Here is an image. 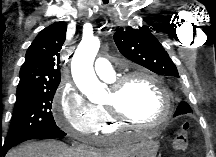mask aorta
<instances>
[{
	"label": "aorta",
	"instance_id": "1",
	"mask_svg": "<svg viewBox=\"0 0 216 157\" xmlns=\"http://www.w3.org/2000/svg\"><path fill=\"white\" fill-rule=\"evenodd\" d=\"M99 47L98 38L83 39L71 62L72 76L76 86L94 103L100 101L106 94L105 86L98 80L93 69V62Z\"/></svg>",
	"mask_w": 216,
	"mask_h": 157
}]
</instances>
